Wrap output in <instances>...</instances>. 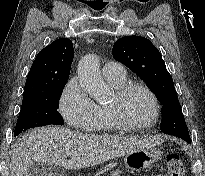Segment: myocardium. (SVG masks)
Returning <instances> with one entry per match:
<instances>
[{
  "label": "myocardium",
  "instance_id": "myocardium-1",
  "mask_svg": "<svg viewBox=\"0 0 205 176\" xmlns=\"http://www.w3.org/2000/svg\"><path fill=\"white\" fill-rule=\"evenodd\" d=\"M141 90L145 92L151 100L153 110L150 119L143 123H132L128 121L122 110V101L133 91ZM110 113L116 123L117 129L122 131L141 130L152 127L159 119L160 104L156 94L145 84L139 82L126 83L123 87L116 90L114 101L109 104Z\"/></svg>",
  "mask_w": 205,
  "mask_h": 176
}]
</instances>
